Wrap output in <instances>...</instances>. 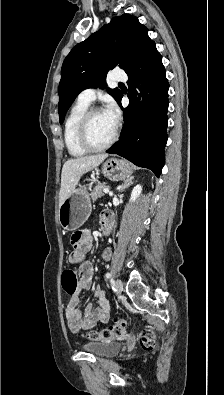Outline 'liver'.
<instances>
[{"label":"liver","instance_id":"6515ba94","mask_svg":"<svg viewBox=\"0 0 224 395\" xmlns=\"http://www.w3.org/2000/svg\"><path fill=\"white\" fill-rule=\"evenodd\" d=\"M107 157V154H98L78 157L66 161L63 165L61 174L59 205H61L75 190L82 175L96 168Z\"/></svg>","mask_w":224,"mask_h":395}]
</instances>
